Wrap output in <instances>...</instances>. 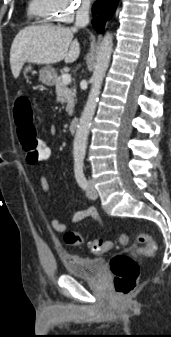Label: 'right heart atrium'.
Instances as JSON below:
<instances>
[{"label":"right heart atrium","instance_id":"d8ad5b80","mask_svg":"<svg viewBox=\"0 0 171 337\" xmlns=\"http://www.w3.org/2000/svg\"><path fill=\"white\" fill-rule=\"evenodd\" d=\"M56 13V19L63 23H71L77 15L87 9L86 0H50Z\"/></svg>","mask_w":171,"mask_h":337}]
</instances>
